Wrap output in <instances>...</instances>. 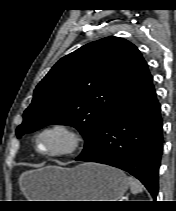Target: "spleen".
I'll use <instances>...</instances> for the list:
<instances>
[{"instance_id":"3e777b00","label":"spleen","mask_w":176,"mask_h":211,"mask_svg":"<svg viewBox=\"0 0 176 211\" xmlns=\"http://www.w3.org/2000/svg\"><path fill=\"white\" fill-rule=\"evenodd\" d=\"M128 181L130 184L131 192L133 194H138V193L142 192V190H143L142 185L137 179L129 176Z\"/></svg>"}]
</instances>
